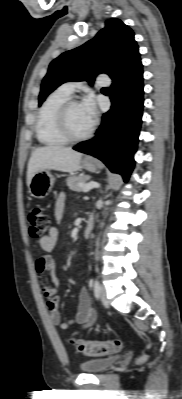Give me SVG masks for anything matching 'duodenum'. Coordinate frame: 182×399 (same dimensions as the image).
I'll return each instance as SVG.
<instances>
[{"label":"duodenum","mask_w":182,"mask_h":399,"mask_svg":"<svg viewBox=\"0 0 182 399\" xmlns=\"http://www.w3.org/2000/svg\"><path fill=\"white\" fill-rule=\"evenodd\" d=\"M94 226V217L92 215L88 216L86 219L85 229H84V236L88 237L93 229Z\"/></svg>","instance_id":"obj_1"}]
</instances>
